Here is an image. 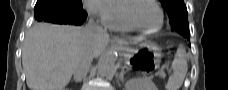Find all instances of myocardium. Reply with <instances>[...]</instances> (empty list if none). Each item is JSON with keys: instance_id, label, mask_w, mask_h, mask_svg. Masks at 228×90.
I'll list each match as a JSON object with an SVG mask.
<instances>
[{"instance_id": "1", "label": "myocardium", "mask_w": 228, "mask_h": 90, "mask_svg": "<svg viewBox=\"0 0 228 90\" xmlns=\"http://www.w3.org/2000/svg\"><path fill=\"white\" fill-rule=\"evenodd\" d=\"M139 1H142V0H126L120 6V18H121V20L123 21V23L126 26H128L132 30H136V31H140V32H143V33H148V34L159 32L164 26L165 18H164V12H163L162 8L160 7V5L158 4L157 1H155V0H147V1L151 2L152 4H154V6L159 11L160 24H159V26L157 28H155V29L142 28V27L138 26L136 23H134L131 20V18L128 16V13H127L128 9L131 7L132 4H134L136 2H139Z\"/></svg>"}]
</instances>
